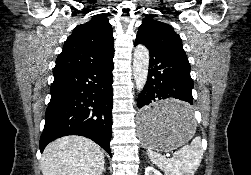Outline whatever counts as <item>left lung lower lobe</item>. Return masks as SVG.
Instances as JSON below:
<instances>
[{
  "mask_svg": "<svg viewBox=\"0 0 251 175\" xmlns=\"http://www.w3.org/2000/svg\"><path fill=\"white\" fill-rule=\"evenodd\" d=\"M144 44L150 52L147 82L139 94V122L144 126L185 122L194 116L193 81L188 60L136 37L135 45ZM175 98L187 103L154 105L158 100Z\"/></svg>",
  "mask_w": 251,
  "mask_h": 175,
  "instance_id": "left-lung-lower-lobe-1",
  "label": "left lung lower lobe"
}]
</instances>
